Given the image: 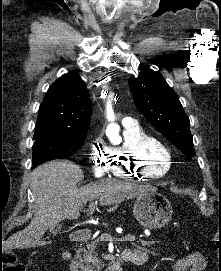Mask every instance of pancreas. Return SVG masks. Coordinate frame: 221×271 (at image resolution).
<instances>
[{
    "label": "pancreas",
    "instance_id": "pancreas-1",
    "mask_svg": "<svg viewBox=\"0 0 221 271\" xmlns=\"http://www.w3.org/2000/svg\"><path fill=\"white\" fill-rule=\"evenodd\" d=\"M158 242V239H135V244H141L142 247H153V244H158ZM96 245L97 241H90L86 247H79L76 253L77 259L81 263H85L86 267H89V271H100V265H104L103 261L96 257Z\"/></svg>",
    "mask_w": 221,
    "mask_h": 271
}]
</instances>
